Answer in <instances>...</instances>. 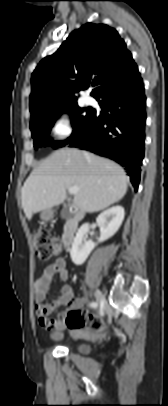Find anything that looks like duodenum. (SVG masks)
<instances>
[{"label":"duodenum","instance_id":"1","mask_svg":"<svg viewBox=\"0 0 168 406\" xmlns=\"http://www.w3.org/2000/svg\"><path fill=\"white\" fill-rule=\"evenodd\" d=\"M82 219L83 213L80 210H76L66 221L62 235V242L66 249L70 247Z\"/></svg>","mask_w":168,"mask_h":406}]
</instances>
